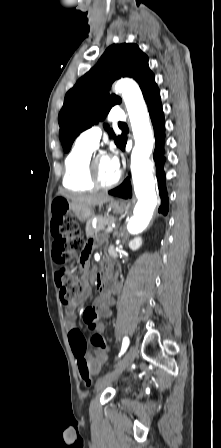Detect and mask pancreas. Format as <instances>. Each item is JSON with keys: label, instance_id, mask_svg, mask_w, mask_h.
I'll return each mask as SVG.
<instances>
[{"label": "pancreas", "instance_id": "pancreas-1", "mask_svg": "<svg viewBox=\"0 0 221 448\" xmlns=\"http://www.w3.org/2000/svg\"><path fill=\"white\" fill-rule=\"evenodd\" d=\"M116 218L109 215H99L97 216V228L94 229L92 227V222H88L86 226V235L91 236L94 234H97L100 230L105 229L106 226H110L111 224L115 223Z\"/></svg>", "mask_w": 221, "mask_h": 448}]
</instances>
